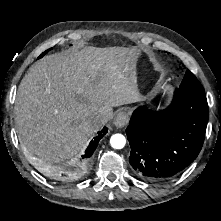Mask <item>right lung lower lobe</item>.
Masks as SVG:
<instances>
[{
    "instance_id": "98d812e1",
    "label": "right lung lower lobe",
    "mask_w": 221,
    "mask_h": 221,
    "mask_svg": "<svg viewBox=\"0 0 221 221\" xmlns=\"http://www.w3.org/2000/svg\"><path fill=\"white\" fill-rule=\"evenodd\" d=\"M107 128L104 127L101 131L98 132V136L94 138L87 147L85 154L82 155L79 162L74 163L73 165L65 166L62 168H50L46 167L44 172L58 181H72L81 177L90 161V157L97 148L98 142L100 139L107 133Z\"/></svg>"
}]
</instances>
